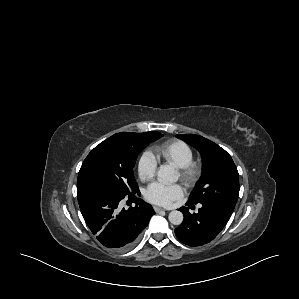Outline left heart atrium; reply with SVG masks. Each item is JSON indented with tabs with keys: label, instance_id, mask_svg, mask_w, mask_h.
I'll return each instance as SVG.
<instances>
[{
	"label": "left heart atrium",
	"instance_id": "left-heart-atrium-1",
	"mask_svg": "<svg viewBox=\"0 0 299 299\" xmlns=\"http://www.w3.org/2000/svg\"><path fill=\"white\" fill-rule=\"evenodd\" d=\"M183 194L182 187L178 184L168 185L161 182L151 183L146 190V198L152 203L169 206Z\"/></svg>",
	"mask_w": 299,
	"mask_h": 299
}]
</instances>
